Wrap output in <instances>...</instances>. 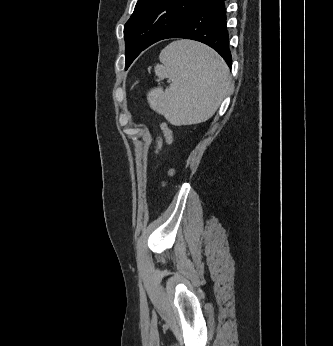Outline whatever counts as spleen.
<instances>
[{"label": "spleen", "instance_id": "3e777b00", "mask_svg": "<svg viewBox=\"0 0 333 346\" xmlns=\"http://www.w3.org/2000/svg\"><path fill=\"white\" fill-rule=\"evenodd\" d=\"M155 74L172 81L170 87L152 89V109L175 124H197L208 120L227 96L231 78L224 60L210 47L178 40L165 47Z\"/></svg>", "mask_w": 333, "mask_h": 346}]
</instances>
